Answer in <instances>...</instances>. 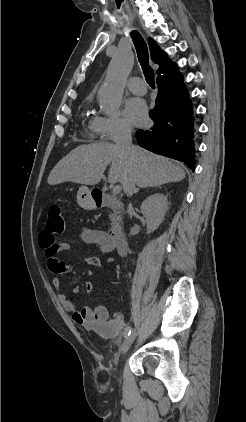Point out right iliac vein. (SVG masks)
I'll return each mask as SVG.
<instances>
[{
	"label": "right iliac vein",
	"instance_id": "right-iliac-vein-1",
	"mask_svg": "<svg viewBox=\"0 0 246 422\" xmlns=\"http://www.w3.org/2000/svg\"><path fill=\"white\" fill-rule=\"evenodd\" d=\"M136 334H137V330L134 329L132 331V333L129 336H127V338L124 340V342H123V344L121 346V353H122V355L126 354V352L128 351V349L130 348L131 344L133 343V341H134V339L136 337Z\"/></svg>",
	"mask_w": 246,
	"mask_h": 422
}]
</instances>
